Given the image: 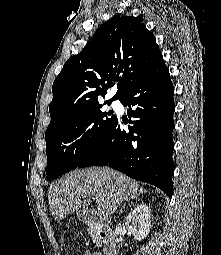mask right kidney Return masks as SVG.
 <instances>
[{
  "instance_id": "obj_1",
  "label": "right kidney",
  "mask_w": 221,
  "mask_h": 255,
  "mask_svg": "<svg viewBox=\"0 0 221 255\" xmlns=\"http://www.w3.org/2000/svg\"><path fill=\"white\" fill-rule=\"evenodd\" d=\"M126 228L138 241H142L151 229V212L148 206L141 204L134 208L126 217Z\"/></svg>"
}]
</instances>
